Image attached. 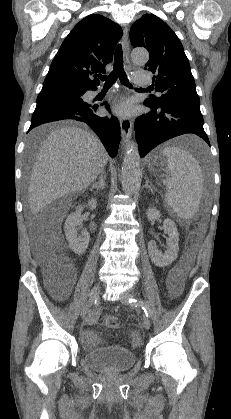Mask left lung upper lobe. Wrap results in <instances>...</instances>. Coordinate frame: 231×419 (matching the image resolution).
<instances>
[{
    "instance_id": "obj_1",
    "label": "left lung upper lobe",
    "mask_w": 231,
    "mask_h": 419,
    "mask_svg": "<svg viewBox=\"0 0 231 419\" xmlns=\"http://www.w3.org/2000/svg\"><path fill=\"white\" fill-rule=\"evenodd\" d=\"M130 39L134 47H145L150 54L144 68L155 74L156 90L162 93L158 98L150 96V103L200 102L183 46L164 21L153 14L143 15L132 25Z\"/></svg>"
}]
</instances>
